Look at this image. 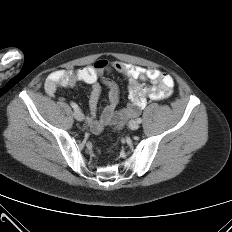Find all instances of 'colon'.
<instances>
[{"instance_id": "1", "label": "colon", "mask_w": 232, "mask_h": 232, "mask_svg": "<svg viewBox=\"0 0 232 232\" xmlns=\"http://www.w3.org/2000/svg\"><path fill=\"white\" fill-rule=\"evenodd\" d=\"M129 113L131 114L132 112L130 111ZM119 120H120L121 122H118V123L115 125V128H116L118 131H121V130L124 128V124H126V123L129 121V115H128V114L119 115Z\"/></svg>"}]
</instances>
